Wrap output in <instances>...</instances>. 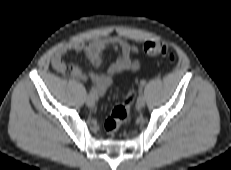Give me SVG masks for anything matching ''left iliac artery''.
Listing matches in <instances>:
<instances>
[{"mask_svg":"<svg viewBox=\"0 0 231 170\" xmlns=\"http://www.w3.org/2000/svg\"><path fill=\"white\" fill-rule=\"evenodd\" d=\"M141 84H142V85H144V84H145V82H144V81H142V82H141Z\"/></svg>","mask_w":231,"mask_h":170,"instance_id":"44dca946","label":"left iliac artery"}]
</instances>
